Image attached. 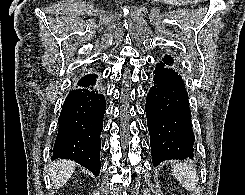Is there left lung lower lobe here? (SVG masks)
Returning <instances> with one entry per match:
<instances>
[{
	"mask_svg": "<svg viewBox=\"0 0 245 195\" xmlns=\"http://www.w3.org/2000/svg\"><path fill=\"white\" fill-rule=\"evenodd\" d=\"M146 116L154 166L165 160L193 159L194 133L188 94L173 62L166 58L157 63L153 72Z\"/></svg>",
	"mask_w": 245,
	"mask_h": 195,
	"instance_id": "left-lung-lower-lobe-1",
	"label": "left lung lower lobe"
}]
</instances>
